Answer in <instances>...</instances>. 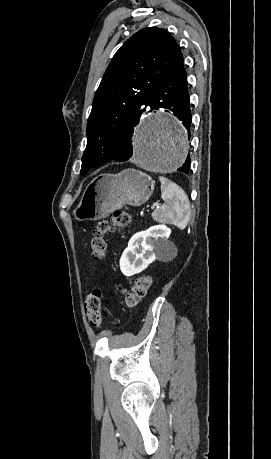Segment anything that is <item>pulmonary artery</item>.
<instances>
[{
    "label": "pulmonary artery",
    "mask_w": 271,
    "mask_h": 459,
    "mask_svg": "<svg viewBox=\"0 0 271 459\" xmlns=\"http://www.w3.org/2000/svg\"><path fill=\"white\" fill-rule=\"evenodd\" d=\"M146 107H147L148 109H151V108L153 107V104H152L151 102H148V103L146 104Z\"/></svg>",
    "instance_id": "pulmonary-artery-1"
}]
</instances>
